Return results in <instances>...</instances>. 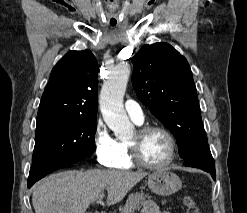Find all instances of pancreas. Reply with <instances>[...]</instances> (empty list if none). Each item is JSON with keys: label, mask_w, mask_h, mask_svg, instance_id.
Segmentation results:
<instances>
[{"label": "pancreas", "mask_w": 247, "mask_h": 213, "mask_svg": "<svg viewBox=\"0 0 247 213\" xmlns=\"http://www.w3.org/2000/svg\"><path fill=\"white\" fill-rule=\"evenodd\" d=\"M146 198L150 197L143 193L131 194L122 208L121 213H134L141 208V205H143ZM162 203L165 204L166 201H163Z\"/></svg>", "instance_id": "cf45deb5"}]
</instances>
